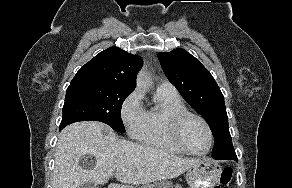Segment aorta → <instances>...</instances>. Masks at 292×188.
I'll list each match as a JSON object with an SVG mask.
<instances>
[{"instance_id":"1","label":"aorta","mask_w":292,"mask_h":188,"mask_svg":"<svg viewBox=\"0 0 292 188\" xmlns=\"http://www.w3.org/2000/svg\"><path fill=\"white\" fill-rule=\"evenodd\" d=\"M150 85V80L147 78L146 73L142 70L137 76V87L140 89H147Z\"/></svg>"}]
</instances>
